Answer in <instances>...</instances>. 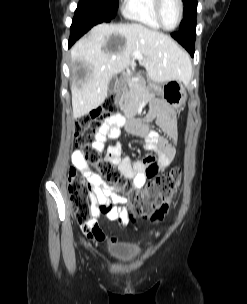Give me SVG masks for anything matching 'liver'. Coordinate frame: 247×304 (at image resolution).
Wrapping results in <instances>:
<instances>
[{
	"label": "liver",
	"instance_id": "1",
	"mask_svg": "<svg viewBox=\"0 0 247 304\" xmlns=\"http://www.w3.org/2000/svg\"><path fill=\"white\" fill-rule=\"evenodd\" d=\"M112 40L118 41L109 49ZM138 51L149 79L155 83L180 81L187 83L192 74L189 56L159 31L138 23L99 24L71 49L73 62L86 68L81 87L71 86L73 118L77 119L100 106L107 97L112 77L128 66H134L132 54Z\"/></svg>",
	"mask_w": 247,
	"mask_h": 304
}]
</instances>
